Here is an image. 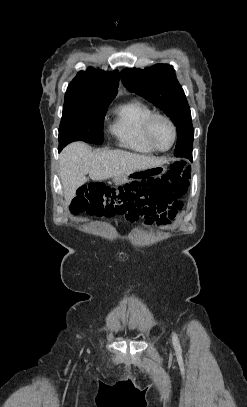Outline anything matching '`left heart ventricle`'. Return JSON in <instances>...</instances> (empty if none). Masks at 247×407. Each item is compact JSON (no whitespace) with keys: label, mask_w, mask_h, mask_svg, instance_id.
<instances>
[{"label":"left heart ventricle","mask_w":247,"mask_h":407,"mask_svg":"<svg viewBox=\"0 0 247 407\" xmlns=\"http://www.w3.org/2000/svg\"><path fill=\"white\" fill-rule=\"evenodd\" d=\"M152 137L158 147H169L173 139L170 125L163 119H156L152 125Z\"/></svg>","instance_id":"obj_1"}]
</instances>
